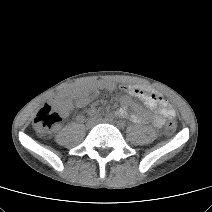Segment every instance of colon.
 Listing matches in <instances>:
<instances>
[{"label": "colon", "instance_id": "obj_1", "mask_svg": "<svg viewBox=\"0 0 212 212\" xmlns=\"http://www.w3.org/2000/svg\"><path fill=\"white\" fill-rule=\"evenodd\" d=\"M62 120L61 114L51 105L45 104L33 120L34 129L40 135H46L52 131ZM177 127L175 121L170 120L166 124L168 131H174Z\"/></svg>", "mask_w": 212, "mask_h": 212}]
</instances>
